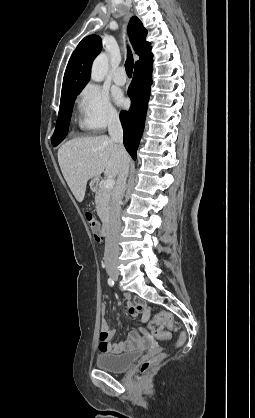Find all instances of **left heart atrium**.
Listing matches in <instances>:
<instances>
[{
    "instance_id": "1",
    "label": "left heart atrium",
    "mask_w": 255,
    "mask_h": 418,
    "mask_svg": "<svg viewBox=\"0 0 255 418\" xmlns=\"http://www.w3.org/2000/svg\"><path fill=\"white\" fill-rule=\"evenodd\" d=\"M115 99H116V101H117L118 104L123 105L125 103V99H124V97L122 96L121 93H117L115 95Z\"/></svg>"
}]
</instances>
